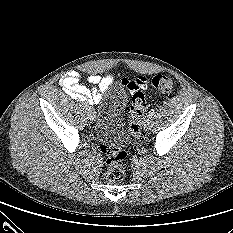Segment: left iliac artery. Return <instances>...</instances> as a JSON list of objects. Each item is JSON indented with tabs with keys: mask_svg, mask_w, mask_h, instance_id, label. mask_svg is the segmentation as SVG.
I'll return each mask as SVG.
<instances>
[{
	"mask_svg": "<svg viewBox=\"0 0 233 233\" xmlns=\"http://www.w3.org/2000/svg\"><path fill=\"white\" fill-rule=\"evenodd\" d=\"M156 113L155 109H151V111L149 112V116H153Z\"/></svg>",
	"mask_w": 233,
	"mask_h": 233,
	"instance_id": "1",
	"label": "left iliac artery"
}]
</instances>
